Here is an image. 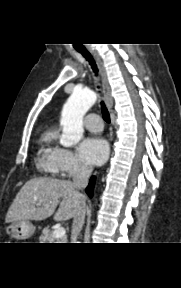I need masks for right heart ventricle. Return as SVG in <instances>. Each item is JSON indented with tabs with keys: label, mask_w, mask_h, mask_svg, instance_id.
<instances>
[{
	"label": "right heart ventricle",
	"mask_w": 181,
	"mask_h": 288,
	"mask_svg": "<svg viewBox=\"0 0 181 288\" xmlns=\"http://www.w3.org/2000/svg\"><path fill=\"white\" fill-rule=\"evenodd\" d=\"M55 132L52 129L45 131L39 140L40 156L38 159V165L45 171L53 172L56 168L54 159V146Z\"/></svg>",
	"instance_id": "obj_1"
}]
</instances>
